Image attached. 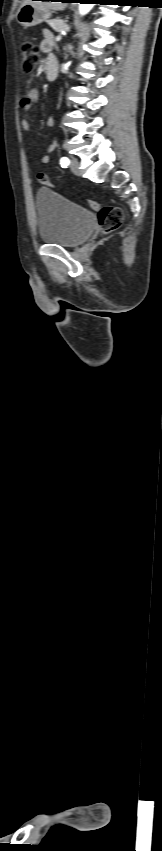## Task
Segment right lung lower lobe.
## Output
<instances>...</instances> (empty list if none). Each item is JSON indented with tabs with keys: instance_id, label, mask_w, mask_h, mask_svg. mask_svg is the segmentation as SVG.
Wrapping results in <instances>:
<instances>
[{
	"instance_id": "right-lung-lower-lobe-1",
	"label": "right lung lower lobe",
	"mask_w": 162,
	"mask_h": 851,
	"mask_svg": "<svg viewBox=\"0 0 162 851\" xmlns=\"http://www.w3.org/2000/svg\"><path fill=\"white\" fill-rule=\"evenodd\" d=\"M43 1H52V0H43Z\"/></svg>"
}]
</instances>
